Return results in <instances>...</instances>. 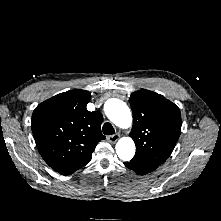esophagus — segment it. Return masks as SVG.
Returning <instances> with one entry per match:
<instances>
[{"label": "esophagus", "instance_id": "34e87169", "mask_svg": "<svg viewBox=\"0 0 221 221\" xmlns=\"http://www.w3.org/2000/svg\"><path fill=\"white\" fill-rule=\"evenodd\" d=\"M119 138H120L119 134H114V135L108 136L107 140L110 143L114 144V143H116L119 140Z\"/></svg>", "mask_w": 221, "mask_h": 221}]
</instances>
